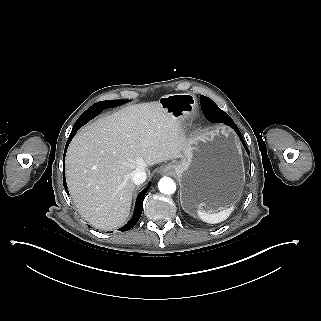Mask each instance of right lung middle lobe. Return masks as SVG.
Masks as SVG:
<instances>
[{
    "instance_id": "obj_1",
    "label": "right lung middle lobe",
    "mask_w": 321,
    "mask_h": 321,
    "mask_svg": "<svg viewBox=\"0 0 321 321\" xmlns=\"http://www.w3.org/2000/svg\"><path fill=\"white\" fill-rule=\"evenodd\" d=\"M125 103L126 100H107V101H101L99 105H102V104H110V103Z\"/></svg>"
}]
</instances>
